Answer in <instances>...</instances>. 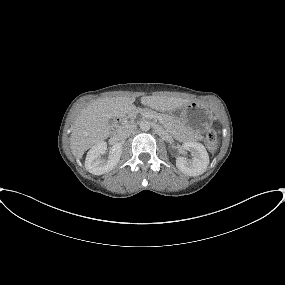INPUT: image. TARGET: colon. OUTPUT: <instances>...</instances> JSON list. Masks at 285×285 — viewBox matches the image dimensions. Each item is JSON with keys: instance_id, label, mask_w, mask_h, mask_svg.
Listing matches in <instances>:
<instances>
[{"instance_id": "colon-1", "label": "colon", "mask_w": 285, "mask_h": 285, "mask_svg": "<svg viewBox=\"0 0 285 285\" xmlns=\"http://www.w3.org/2000/svg\"><path fill=\"white\" fill-rule=\"evenodd\" d=\"M205 141L209 149L213 150L217 146V134L214 130H209L205 135Z\"/></svg>"}]
</instances>
